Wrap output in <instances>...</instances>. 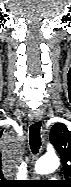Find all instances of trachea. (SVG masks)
Returning <instances> with one entry per match:
<instances>
[{"instance_id": "1", "label": "trachea", "mask_w": 71, "mask_h": 187, "mask_svg": "<svg viewBox=\"0 0 71 187\" xmlns=\"http://www.w3.org/2000/svg\"><path fill=\"white\" fill-rule=\"evenodd\" d=\"M40 127L41 122L37 121L30 127L29 132V141L30 147L33 154H37L39 152L41 146V138H40Z\"/></svg>"}]
</instances>
